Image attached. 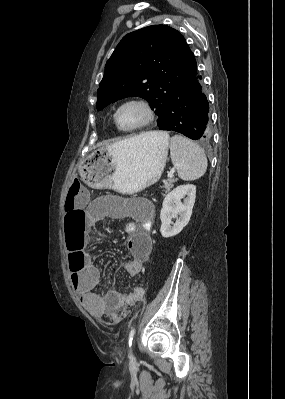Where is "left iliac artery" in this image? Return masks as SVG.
<instances>
[{
	"label": "left iliac artery",
	"instance_id": "1",
	"mask_svg": "<svg viewBox=\"0 0 285 399\" xmlns=\"http://www.w3.org/2000/svg\"><path fill=\"white\" fill-rule=\"evenodd\" d=\"M134 334H135V328H132L129 333V339H128L129 347H131V345H132V340H133Z\"/></svg>",
	"mask_w": 285,
	"mask_h": 399
}]
</instances>
